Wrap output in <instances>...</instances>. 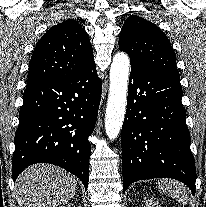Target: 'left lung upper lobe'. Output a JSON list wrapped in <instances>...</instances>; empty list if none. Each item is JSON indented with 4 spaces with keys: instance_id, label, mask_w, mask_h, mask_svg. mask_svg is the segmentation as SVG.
I'll use <instances>...</instances> for the list:
<instances>
[{
    "instance_id": "obj_1",
    "label": "left lung upper lobe",
    "mask_w": 206,
    "mask_h": 207,
    "mask_svg": "<svg viewBox=\"0 0 206 207\" xmlns=\"http://www.w3.org/2000/svg\"><path fill=\"white\" fill-rule=\"evenodd\" d=\"M119 48L129 55L131 65L180 79L171 43L154 23L129 16L121 30Z\"/></svg>"
}]
</instances>
